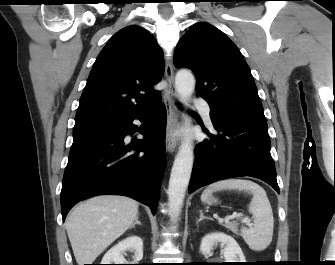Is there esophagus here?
Here are the masks:
<instances>
[{"label": "esophagus", "instance_id": "34e87169", "mask_svg": "<svg viewBox=\"0 0 335 265\" xmlns=\"http://www.w3.org/2000/svg\"><path fill=\"white\" fill-rule=\"evenodd\" d=\"M165 78L167 89L164 94V103L167 111V130H166V149L168 152H174L177 147V133L179 129L178 121V95L174 84V71L170 59L166 60Z\"/></svg>", "mask_w": 335, "mask_h": 265}]
</instances>
